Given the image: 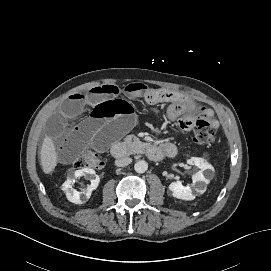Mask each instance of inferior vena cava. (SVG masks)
Listing matches in <instances>:
<instances>
[{"label": "inferior vena cava", "mask_w": 271, "mask_h": 271, "mask_svg": "<svg viewBox=\"0 0 271 271\" xmlns=\"http://www.w3.org/2000/svg\"><path fill=\"white\" fill-rule=\"evenodd\" d=\"M132 162V159L130 157H122L115 161V165L118 167H124L129 165Z\"/></svg>", "instance_id": "1"}]
</instances>
